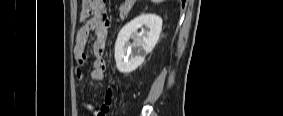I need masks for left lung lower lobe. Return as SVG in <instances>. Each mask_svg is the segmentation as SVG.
<instances>
[{
  "instance_id": "0a47b994",
  "label": "left lung lower lobe",
  "mask_w": 283,
  "mask_h": 116,
  "mask_svg": "<svg viewBox=\"0 0 283 116\" xmlns=\"http://www.w3.org/2000/svg\"><path fill=\"white\" fill-rule=\"evenodd\" d=\"M182 2H183V4H184L185 0H182Z\"/></svg>"
}]
</instances>
